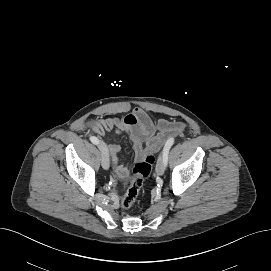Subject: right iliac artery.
I'll return each mask as SVG.
<instances>
[{
	"instance_id": "1",
	"label": "right iliac artery",
	"mask_w": 271,
	"mask_h": 271,
	"mask_svg": "<svg viewBox=\"0 0 271 271\" xmlns=\"http://www.w3.org/2000/svg\"><path fill=\"white\" fill-rule=\"evenodd\" d=\"M90 141H91L93 144H96V145L99 144V140H98V138L95 137V136H91V137H90Z\"/></svg>"
}]
</instances>
